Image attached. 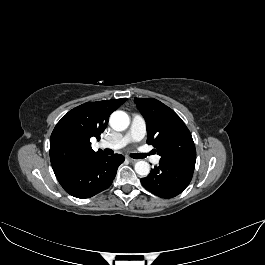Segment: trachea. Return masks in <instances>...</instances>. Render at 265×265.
I'll list each match as a JSON object with an SVG mask.
<instances>
[{
    "label": "trachea",
    "instance_id": "obj_1",
    "mask_svg": "<svg viewBox=\"0 0 265 265\" xmlns=\"http://www.w3.org/2000/svg\"><path fill=\"white\" fill-rule=\"evenodd\" d=\"M105 152L107 154H112L113 153V151L110 150V149H106ZM131 157L134 158V159H142V158H145L146 157V154L133 153V154H131Z\"/></svg>",
    "mask_w": 265,
    "mask_h": 265
}]
</instances>
